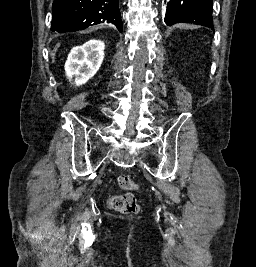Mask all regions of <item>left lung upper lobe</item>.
Listing matches in <instances>:
<instances>
[{
    "label": "left lung upper lobe",
    "instance_id": "1",
    "mask_svg": "<svg viewBox=\"0 0 256 267\" xmlns=\"http://www.w3.org/2000/svg\"><path fill=\"white\" fill-rule=\"evenodd\" d=\"M194 23L214 30L212 0H170L165 16L166 24Z\"/></svg>",
    "mask_w": 256,
    "mask_h": 267
}]
</instances>
